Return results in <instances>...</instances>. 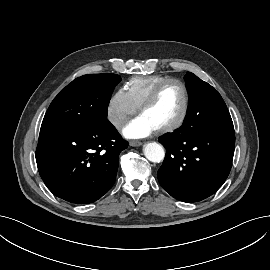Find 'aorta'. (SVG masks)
I'll use <instances>...</instances> for the list:
<instances>
[{
  "label": "aorta",
  "instance_id": "762f6f07",
  "mask_svg": "<svg viewBox=\"0 0 270 270\" xmlns=\"http://www.w3.org/2000/svg\"><path fill=\"white\" fill-rule=\"evenodd\" d=\"M143 152H144L145 157L149 161L154 162V163L161 162L165 157L164 148L156 142L147 143L144 146Z\"/></svg>",
  "mask_w": 270,
  "mask_h": 270
}]
</instances>
